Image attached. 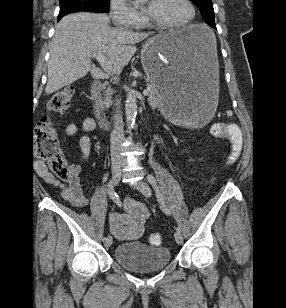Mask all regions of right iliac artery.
<instances>
[{
	"label": "right iliac artery",
	"mask_w": 286,
	"mask_h": 308,
	"mask_svg": "<svg viewBox=\"0 0 286 308\" xmlns=\"http://www.w3.org/2000/svg\"><path fill=\"white\" fill-rule=\"evenodd\" d=\"M108 192H109L110 198L116 203V205H118V209L122 210L123 209V204H122L121 200H119L118 195L113 190V182H112V180L108 184ZM106 238L107 237H104L103 241H105Z\"/></svg>",
	"instance_id": "1"
}]
</instances>
